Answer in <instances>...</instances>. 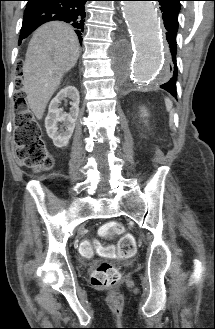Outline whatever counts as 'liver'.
<instances>
[{"mask_svg": "<svg viewBox=\"0 0 215 329\" xmlns=\"http://www.w3.org/2000/svg\"><path fill=\"white\" fill-rule=\"evenodd\" d=\"M79 48L74 29L66 23L49 22L34 32L23 65V88L37 119H42L63 75L75 66Z\"/></svg>", "mask_w": 215, "mask_h": 329, "instance_id": "1", "label": "liver"}]
</instances>
